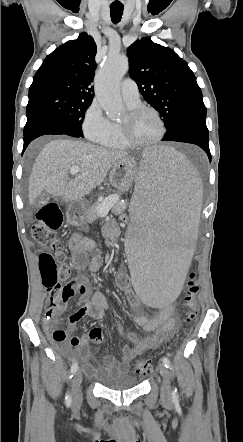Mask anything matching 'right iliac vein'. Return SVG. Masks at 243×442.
<instances>
[{"label": "right iliac vein", "mask_w": 243, "mask_h": 442, "mask_svg": "<svg viewBox=\"0 0 243 442\" xmlns=\"http://www.w3.org/2000/svg\"><path fill=\"white\" fill-rule=\"evenodd\" d=\"M82 379L83 377L81 371H77L74 375L71 388L72 403L74 407L79 406L82 401V393L80 387Z\"/></svg>", "instance_id": "1"}]
</instances>
